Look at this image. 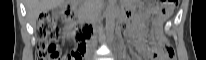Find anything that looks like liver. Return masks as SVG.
<instances>
[{
    "label": "liver",
    "mask_w": 206,
    "mask_h": 60,
    "mask_svg": "<svg viewBox=\"0 0 206 60\" xmlns=\"http://www.w3.org/2000/svg\"><path fill=\"white\" fill-rule=\"evenodd\" d=\"M63 3L64 0H26V9L29 22L32 26H35L36 21L42 12L55 9Z\"/></svg>",
    "instance_id": "6515ba94"
}]
</instances>
